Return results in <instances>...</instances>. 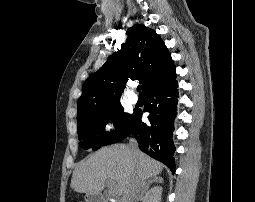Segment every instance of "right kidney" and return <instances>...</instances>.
I'll list each match as a JSON object with an SVG mask.
<instances>
[{
	"label": "right kidney",
	"mask_w": 255,
	"mask_h": 202,
	"mask_svg": "<svg viewBox=\"0 0 255 202\" xmlns=\"http://www.w3.org/2000/svg\"><path fill=\"white\" fill-rule=\"evenodd\" d=\"M161 195L162 187H154L149 192H147L146 196L143 198V202H160Z\"/></svg>",
	"instance_id": "right-kidney-1"
}]
</instances>
